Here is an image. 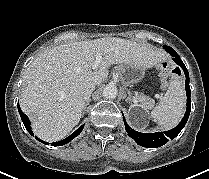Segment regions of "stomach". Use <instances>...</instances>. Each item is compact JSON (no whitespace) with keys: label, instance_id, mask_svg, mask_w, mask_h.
Listing matches in <instances>:
<instances>
[{"label":"stomach","instance_id":"obj_1","mask_svg":"<svg viewBox=\"0 0 209 179\" xmlns=\"http://www.w3.org/2000/svg\"><path fill=\"white\" fill-rule=\"evenodd\" d=\"M144 75L145 69L140 66L134 64L119 66V79L124 86L139 82Z\"/></svg>","mask_w":209,"mask_h":179}]
</instances>
